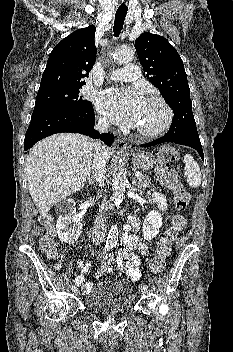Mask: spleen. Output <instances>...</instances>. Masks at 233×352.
<instances>
[{"label":"spleen","instance_id":"3e777b00","mask_svg":"<svg viewBox=\"0 0 233 352\" xmlns=\"http://www.w3.org/2000/svg\"><path fill=\"white\" fill-rule=\"evenodd\" d=\"M183 162L185 164L184 175L187 177L188 185L193 188L199 187L202 177L198 163L190 154L184 156Z\"/></svg>","mask_w":233,"mask_h":352}]
</instances>
